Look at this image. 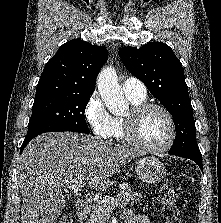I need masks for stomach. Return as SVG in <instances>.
<instances>
[{"instance_id":"1","label":"stomach","mask_w":221,"mask_h":223,"mask_svg":"<svg viewBox=\"0 0 221 223\" xmlns=\"http://www.w3.org/2000/svg\"><path fill=\"white\" fill-rule=\"evenodd\" d=\"M137 177L148 184L158 183L166 176V168L157 158L148 156L135 163Z\"/></svg>"}]
</instances>
